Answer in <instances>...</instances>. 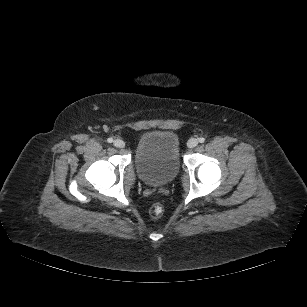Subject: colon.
<instances>
[{
    "label": "colon",
    "instance_id": "1",
    "mask_svg": "<svg viewBox=\"0 0 307 307\" xmlns=\"http://www.w3.org/2000/svg\"><path fill=\"white\" fill-rule=\"evenodd\" d=\"M163 214V207L160 204H154L150 208V215L154 218H158Z\"/></svg>",
    "mask_w": 307,
    "mask_h": 307
}]
</instances>
